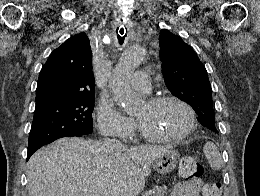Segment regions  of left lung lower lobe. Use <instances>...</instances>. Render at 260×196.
I'll use <instances>...</instances> for the list:
<instances>
[{
    "label": "left lung lower lobe",
    "instance_id": "obj_1",
    "mask_svg": "<svg viewBox=\"0 0 260 196\" xmlns=\"http://www.w3.org/2000/svg\"><path fill=\"white\" fill-rule=\"evenodd\" d=\"M199 115V121L204 125V126H208L209 122H214L215 121V116L214 114H206L202 111H199L197 113Z\"/></svg>",
    "mask_w": 260,
    "mask_h": 196
}]
</instances>
